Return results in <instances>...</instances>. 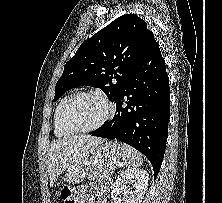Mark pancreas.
<instances>
[{"instance_id":"pancreas-1","label":"pancreas","mask_w":222,"mask_h":203,"mask_svg":"<svg viewBox=\"0 0 222 203\" xmlns=\"http://www.w3.org/2000/svg\"><path fill=\"white\" fill-rule=\"evenodd\" d=\"M114 162L116 163V161L107 160L103 161L101 164H98L97 168H95L94 171L89 174L88 179L95 180L96 178H109L116 168V166L113 164Z\"/></svg>"}]
</instances>
